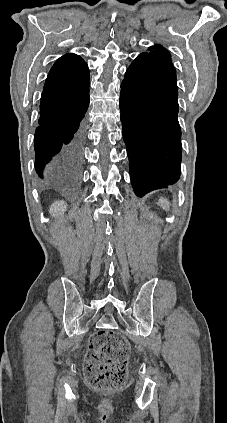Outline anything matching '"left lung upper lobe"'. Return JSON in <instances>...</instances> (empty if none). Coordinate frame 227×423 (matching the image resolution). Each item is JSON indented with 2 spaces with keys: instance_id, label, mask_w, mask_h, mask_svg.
<instances>
[{
  "instance_id": "left-lung-upper-lobe-1",
  "label": "left lung upper lobe",
  "mask_w": 227,
  "mask_h": 423,
  "mask_svg": "<svg viewBox=\"0 0 227 423\" xmlns=\"http://www.w3.org/2000/svg\"><path fill=\"white\" fill-rule=\"evenodd\" d=\"M149 50V53L140 54L132 62L126 74L154 84L167 98L171 107L178 109L176 71L171 63L170 54L161 45H154Z\"/></svg>"
}]
</instances>
